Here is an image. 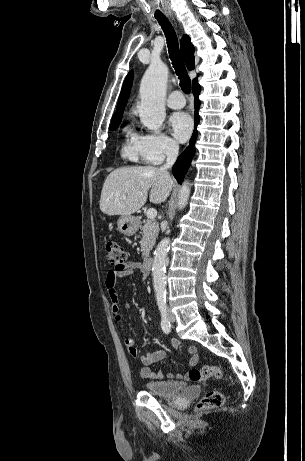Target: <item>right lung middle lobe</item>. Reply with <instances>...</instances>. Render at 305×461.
I'll list each match as a JSON object with an SVG mask.
<instances>
[{"instance_id":"right-lung-middle-lobe-1","label":"right lung middle lobe","mask_w":305,"mask_h":461,"mask_svg":"<svg viewBox=\"0 0 305 461\" xmlns=\"http://www.w3.org/2000/svg\"><path fill=\"white\" fill-rule=\"evenodd\" d=\"M121 121H117V122H112L109 129L110 130H114L117 128V126L120 124Z\"/></svg>"}]
</instances>
